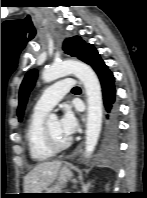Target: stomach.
Here are the masks:
<instances>
[{
	"instance_id": "obj_1",
	"label": "stomach",
	"mask_w": 147,
	"mask_h": 198,
	"mask_svg": "<svg viewBox=\"0 0 147 198\" xmlns=\"http://www.w3.org/2000/svg\"><path fill=\"white\" fill-rule=\"evenodd\" d=\"M72 175L73 174L71 169L67 166H64L59 171L57 183L54 186L47 188L45 191L41 192L42 194L35 197H50L54 193H61V188L63 187V185H65V183H67L71 179Z\"/></svg>"
}]
</instances>
